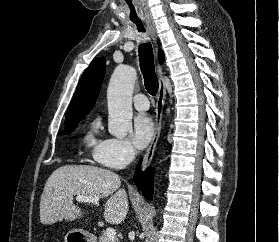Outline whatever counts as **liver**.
Returning <instances> with one entry per match:
<instances>
[{"label": "liver", "instance_id": "1", "mask_svg": "<svg viewBox=\"0 0 279 242\" xmlns=\"http://www.w3.org/2000/svg\"><path fill=\"white\" fill-rule=\"evenodd\" d=\"M121 178L113 171L89 165H65L48 178L40 200V221L53 224L73 221L84 212L73 204V196L109 197L104 209L108 223H122L128 213V196L120 188Z\"/></svg>", "mask_w": 279, "mask_h": 242}]
</instances>
